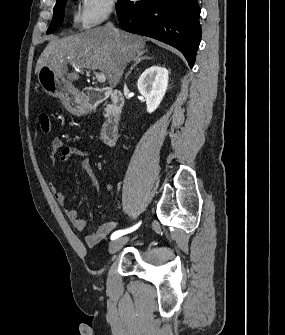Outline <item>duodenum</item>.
<instances>
[{
  "label": "duodenum",
  "instance_id": "duodenum-1",
  "mask_svg": "<svg viewBox=\"0 0 285 335\" xmlns=\"http://www.w3.org/2000/svg\"><path fill=\"white\" fill-rule=\"evenodd\" d=\"M107 103L106 117L101 128V139L107 146H114L118 140L121 112L124 105L122 93L114 88H87L84 90L81 107L89 111Z\"/></svg>",
  "mask_w": 285,
  "mask_h": 335
}]
</instances>
